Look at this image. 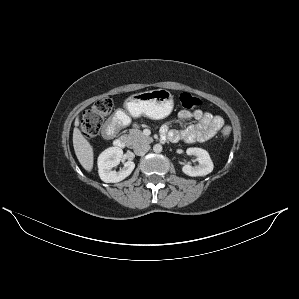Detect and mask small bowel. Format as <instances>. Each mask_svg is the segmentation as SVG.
I'll return each mask as SVG.
<instances>
[{
	"mask_svg": "<svg viewBox=\"0 0 299 299\" xmlns=\"http://www.w3.org/2000/svg\"><path fill=\"white\" fill-rule=\"evenodd\" d=\"M181 121L194 120L195 123L183 130H172L165 125L162 129V136L171 141H183L185 143L204 142L214 137L224 125L221 116L213 115L202 110H181L178 114ZM113 122H119V117H115Z\"/></svg>",
	"mask_w": 299,
	"mask_h": 299,
	"instance_id": "small-bowel-1",
	"label": "small bowel"
}]
</instances>
